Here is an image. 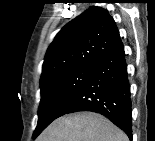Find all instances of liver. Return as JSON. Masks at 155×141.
<instances>
[{
	"label": "liver",
	"mask_w": 155,
	"mask_h": 141,
	"mask_svg": "<svg viewBox=\"0 0 155 141\" xmlns=\"http://www.w3.org/2000/svg\"><path fill=\"white\" fill-rule=\"evenodd\" d=\"M39 141H128V137L104 116L79 112L56 119Z\"/></svg>",
	"instance_id": "1"
}]
</instances>
